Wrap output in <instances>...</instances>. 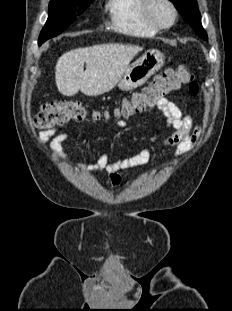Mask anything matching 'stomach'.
Here are the masks:
<instances>
[{
  "instance_id": "1",
  "label": "stomach",
  "mask_w": 232,
  "mask_h": 311,
  "mask_svg": "<svg viewBox=\"0 0 232 311\" xmlns=\"http://www.w3.org/2000/svg\"><path fill=\"white\" fill-rule=\"evenodd\" d=\"M164 64L163 53L156 49L147 50L124 71L118 82L119 89L129 91L143 85Z\"/></svg>"
}]
</instances>
